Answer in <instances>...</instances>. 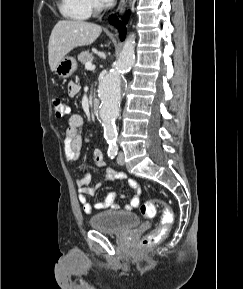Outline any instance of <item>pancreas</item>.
I'll list each match as a JSON object with an SVG mask.
<instances>
[{
	"mask_svg": "<svg viewBox=\"0 0 243 289\" xmlns=\"http://www.w3.org/2000/svg\"><path fill=\"white\" fill-rule=\"evenodd\" d=\"M78 60L82 63V64H86L87 62H92L93 60V55L92 53H90L88 50L87 51H83L78 55Z\"/></svg>",
	"mask_w": 243,
	"mask_h": 289,
	"instance_id": "1",
	"label": "pancreas"
}]
</instances>
